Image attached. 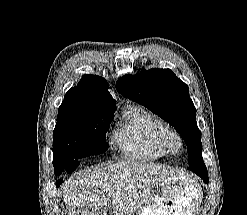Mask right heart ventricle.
<instances>
[{
	"label": "right heart ventricle",
	"mask_w": 247,
	"mask_h": 215,
	"mask_svg": "<svg viewBox=\"0 0 247 215\" xmlns=\"http://www.w3.org/2000/svg\"><path fill=\"white\" fill-rule=\"evenodd\" d=\"M167 127L153 113L140 106H129L113 134L114 145L126 158L152 162L168 156L163 137Z\"/></svg>",
	"instance_id": "1"
}]
</instances>
